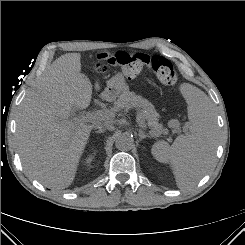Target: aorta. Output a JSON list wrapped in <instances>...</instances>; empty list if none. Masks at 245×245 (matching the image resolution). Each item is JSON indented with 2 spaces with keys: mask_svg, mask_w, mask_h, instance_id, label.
I'll return each instance as SVG.
<instances>
[{
  "mask_svg": "<svg viewBox=\"0 0 245 245\" xmlns=\"http://www.w3.org/2000/svg\"><path fill=\"white\" fill-rule=\"evenodd\" d=\"M115 146L122 151L130 150L133 146L132 136L127 133L120 134L115 141Z\"/></svg>",
  "mask_w": 245,
  "mask_h": 245,
  "instance_id": "1",
  "label": "aorta"
}]
</instances>
